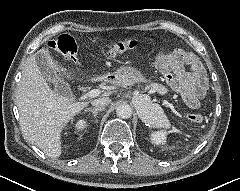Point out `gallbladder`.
<instances>
[{
  "instance_id": "bac80fb5",
  "label": "gallbladder",
  "mask_w": 240,
  "mask_h": 191,
  "mask_svg": "<svg viewBox=\"0 0 240 191\" xmlns=\"http://www.w3.org/2000/svg\"><path fill=\"white\" fill-rule=\"evenodd\" d=\"M36 64L44 79L54 85L55 90L64 96H71L72 91L69 85L58 75L56 69L49 63L42 53L36 55Z\"/></svg>"
}]
</instances>
